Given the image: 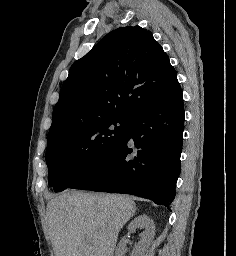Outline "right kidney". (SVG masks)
I'll return each mask as SVG.
<instances>
[{
    "label": "right kidney",
    "mask_w": 236,
    "mask_h": 256,
    "mask_svg": "<svg viewBox=\"0 0 236 256\" xmlns=\"http://www.w3.org/2000/svg\"><path fill=\"white\" fill-rule=\"evenodd\" d=\"M136 228H142L144 232L140 234L141 240L139 244H136L131 256H146V252H149V248L155 236L154 222L151 220V218H149V216L142 214V216L134 218V220H132L128 226L129 232H135ZM123 240H125V238H123ZM125 246V242H120L117 250V256H124L126 252Z\"/></svg>",
    "instance_id": "1"
}]
</instances>
